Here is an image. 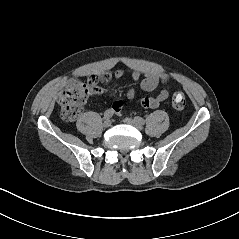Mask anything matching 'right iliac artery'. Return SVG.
Here are the masks:
<instances>
[{"label": "right iliac artery", "instance_id": "1", "mask_svg": "<svg viewBox=\"0 0 239 239\" xmlns=\"http://www.w3.org/2000/svg\"><path fill=\"white\" fill-rule=\"evenodd\" d=\"M113 114H114L113 110L108 109V110H106L105 113H104V118H105V119H110V118L113 116Z\"/></svg>", "mask_w": 239, "mask_h": 239}]
</instances>
